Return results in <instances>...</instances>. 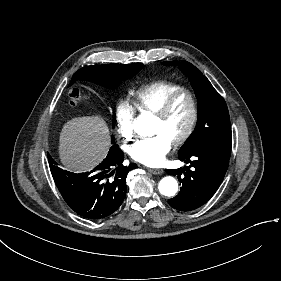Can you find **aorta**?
I'll return each mask as SVG.
<instances>
[{"label":"aorta","mask_w":281,"mask_h":281,"mask_svg":"<svg viewBox=\"0 0 281 281\" xmlns=\"http://www.w3.org/2000/svg\"><path fill=\"white\" fill-rule=\"evenodd\" d=\"M135 130L141 136L151 133V118L147 115H141L136 123ZM159 192L164 196H174L178 191V183L175 178L166 176L160 180L158 185Z\"/></svg>","instance_id":"aorta-1"}]
</instances>
